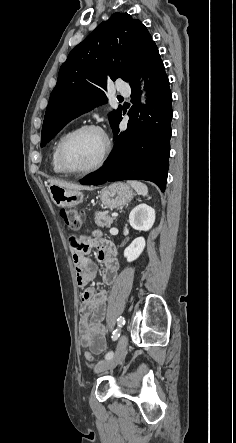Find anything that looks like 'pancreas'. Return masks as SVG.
I'll use <instances>...</instances> for the list:
<instances>
[{
  "label": "pancreas",
  "instance_id": "1",
  "mask_svg": "<svg viewBox=\"0 0 236 443\" xmlns=\"http://www.w3.org/2000/svg\"><path fill=\"white\" fill-rule=\"evenodd\" d=\"M114 219H115L114 217L107 216L106 213L102 212L95 213V223L98 227L110 228Z\"/></svg>",
  "mask_w": 236,
  "mask_h": 443
}]
</instances>
